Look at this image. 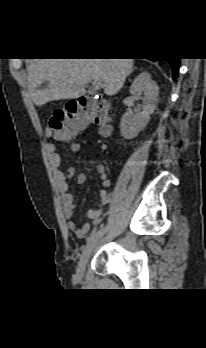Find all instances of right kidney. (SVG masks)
Listing matches in <instances>:
<instances>
[{"label":"right kidney","instance_id":"ca27d5eb","mask_svg":"<svg viewBox=\"0 0 206 348\" xmlns=\"http://www.w3.org/2000/svg\"><path fill=\"white\" fill-rule=\"evenodd\" d=\"M130 92L141 97L143 106L141 112L129 110L122 116L120 130L125 139L135 138L149 123L150 115L158 105L159 88L150 73L142 72L133 81Z\"/></svg>","mask_w":206,"mask_h":348}]
</instances>
